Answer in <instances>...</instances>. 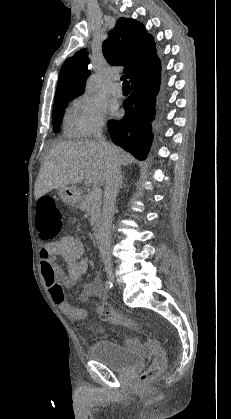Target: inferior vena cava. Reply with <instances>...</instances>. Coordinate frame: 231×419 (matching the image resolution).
<instances>
[{
  "mask_svg": "<svg viewBox=\"0 0 231 419\" xmlns=\"http://www.w3.org/2000/svg\"><path fill=\"white\" fill-rule=\"evenodd\" d=\"M95 140L99 145L105 148L106 142L102 134V127H99L96 131ZM120 180V165L112 156H110L104 184V203L98 237L100 255L105 265H111V228Z\"/></svg>",
  "mask_w": 231,
  "mask_h": 419,
  "instance_id": "602c4592",
  "label": "inferior vena cava"
}]
</instances>
